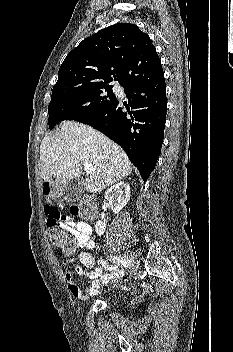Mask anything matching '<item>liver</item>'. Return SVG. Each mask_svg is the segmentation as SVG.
Returning <instances> with one entry per match:
<instances>
[{
  "instance_id": "1",
  "label": "liver",
  "mask_w": 233,
  "mask_h": 352,
  "mask_svg": "<svg viewBox=\"0 0 233 352\" xmlns=\"http://www.w3.org/2000/svg\"><path fill=\"white\" fill-rule=\"evenodd\" d=\"M84 164L93 166L84 181V188L89 193L100 192L132 172V165L122 148L88 125L63 122L55 134L43 138L40 170L44 181L55 184L60 180L68 182L79 178Z\"/></svg>"
}]
</instances>
